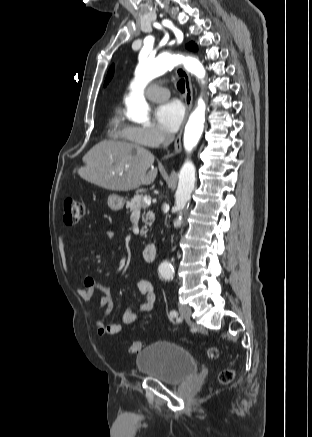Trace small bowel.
<instances>
[{
	"mask_svg": "<svg viewBox=\"0 0 312 437\" xmlns=\"http://www.w3.org/2000/svg\"><path fill=\"white\" fill-rule=\"evenodd\" d=\"M109 239L112 238L113 233L108 232ZM137 288L140 294L144 297V301L138 303L135 307H128L123 313V323L134 324L139 320V315L135 309L148 313L151 312L156 303V293L152 286V283L146 278H140L137 280ZM99 289L105 293L100 299L97 310L101 311V316L96 320L95 326L98 336L104 337L106 335H115L120 333L121 325L118 323H105V318L111 313L114 307L113 298L110 294V290L104 285L100 284L93 276H84L80 287L78 288V294L85 302H91L93 299L94 291Z\"/></svg>",
	"mask_w": 312,
	"mask_h": 437,
	"instance_id": "1",
	"label": "small bowel"
}]
</instances>
